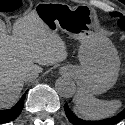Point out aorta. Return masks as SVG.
<instances>
[{
    "mask_svg": "<svg viewBox=\"0 0 125 125\" xmlns=\"http://www.w3.org/2000/svg\"><path fill=\"white\" fill-rule=\"evenodd\" d=\"M58 94L65 98H70L75 94L76 86L74 81L68 77H61L55 83Z\"/></svg>",
    "mask_w": 125,
    "mask_h": 125,
    "instance_id": "762f6f07",
    "label": "aorta"
}]
</instances>
